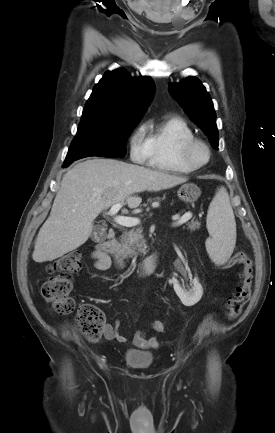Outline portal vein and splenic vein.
Returning <instances> with one entry per match:
<instances>
[{
    "instance_id": "1",
    "label": "portal vein and splenic vein",
    "mask_w": 275,
    "mask_h": 433,
    "mask_svg": "<svg viewBox=\"0 0 275 433\" xmlns=\"http://www.w3.org/2000/svg\"><path fill=\"white\" fill-rule=\"evenodd\" d=\"M122 207V203H116L114 204L110 210H109V214L111 216H114V221L121 225V226H125V227H132V226H136L138 224H140V220L138 218L135 217H127V216H115L118 211L121 209ZM192 214L191 213H185L181 218H179L174 224L173 226H180L184 223H186L189 219H191Z\"/></svg>"
}]
</instances>
